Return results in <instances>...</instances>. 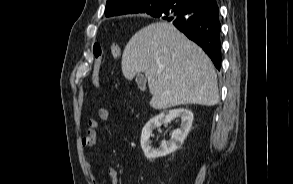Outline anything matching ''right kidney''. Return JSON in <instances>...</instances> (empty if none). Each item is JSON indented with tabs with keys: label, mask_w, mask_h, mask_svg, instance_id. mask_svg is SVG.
Instances as JSON below:
<instances>
[{
	"label": "right kidney",
	"mask_w": 293,
	"mask_h": 184,
	"mask_svg": "<svg viewBox=\"0 0 293 184\" xmlns=\"http://www.w3.org/2000/svg\"><path fill=\"white\" fill-rule=\"evenodd\" d=\"M180 118V128L174 130L169 142L163 141L158 149L150 146V136L155 128L162 124L170 123L173 119ZM193 122V113L184 108L163 111L159 115L153 117L144 126L141 134V147L147 159L152 160L158 157H163L175 152L183 144L187 137Z\"/></svg>",
	"instance_id": "1"
}]
</instances>
